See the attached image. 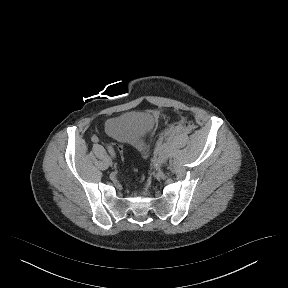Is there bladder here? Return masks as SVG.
<instances>
[{
	"label": "bladder",
	"mask_w": 288,
	"mask_h": 288,
	"mask_svg": "<svg viewBox=\"0 0 288 288\" xmlns=\"http://www.w3.org/2000/svg\"><path fill=\"white\" fill-rule=\"evenodd\" d=\"M156 124V118L149 112H132L111 119L105 125L108 135L120 140L139 143Z\"/></svg>",
	"instance_id": "bladder-1"
}]
</instances>
